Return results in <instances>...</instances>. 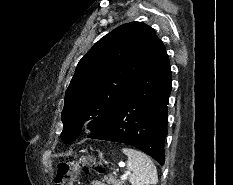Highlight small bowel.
Segmentation results:
<instances>
[{"label": "small bowel", "mask_w": 233, "mask_h": 185, "mask_svg": "<svg viewBox=\"0 0 233 185\" xmlns=\"http://www.w3.org/2000/svg\"><path fill=\"white\" fill-rule=\"evenodd\" d=\"M90 185H106V184H104V183L101 182V181H92V182L90 183Z\"/></svg>", "instance_id": "c3829d8e"}]
</instances>
